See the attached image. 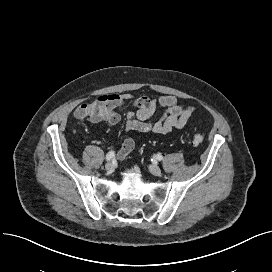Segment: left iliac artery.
<instances>
[{
  "label": "left iliac artery",
  "instance_id": "obj_1",
  "mask_svg": "<svg viewBox=\"0 0 272 272\" xmlns=\"http://www.w3.org/2000/svg\"><path fill=\"white\" fill-rule=\"evenodd\" d=\"M154 158H155L156 160L161 161V160L163 159V156H162L161 154H157V155H155Z\"/></svg>",
  "mask_w": 272,
  "mask_h": 272
}]
</instances>
